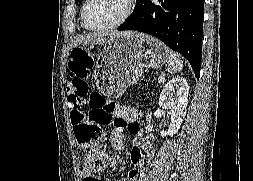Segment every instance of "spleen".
Instances as JSON below:
<instances>
[{"mask_svg":"<svg viewBox=\"0 0 253 181\" xmlns=\"http://www.w3.org/2000/svg\"><path fill=\"white\" fill-rule=\"evenodd\" d=\"M183 68V61L179 58L178 54L168 50V68L169 73H176Z\"/></svg>","mask_w":253,"mask_h":181,"instance_id":"3e777b00","label":"spleen"}]
</instances>
